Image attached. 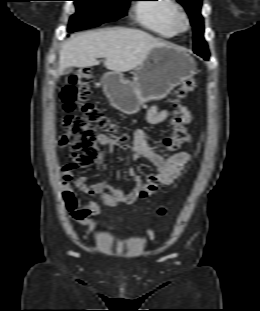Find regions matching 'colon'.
Returning <instances> with one entry per match:
<instances>
[{"label": "colon", "mask_w": 260, "mask_h": 311, "mask_svg": "<svg viewBox=\"0 0 260 311\" xmlns=\"http://www.w3.org/2000/svg\"><path fill=\"white\" fill-rule=\"evenodd\" d=\"M92 79L89 69L78 70L63 87L61 99L66 111H73L78 102L83 103V115H67L62 120L65 130L60 145L69 147L73 151V159L78 166H85L95 161L99 156V145L103 137L108 135L120 143L127 140V134L115 122L102 114L94 104L88 102L90 93L86 86ZM196 81L187 79L177 92L178 99L186 97L196 89ZM173 133L164 138L162 145L173 152H177L188 142L189 136L182 126L180 118H174ZM106 134V135H105ZM165 207L158 209L159 215H164Z\"/></svg>", "instance_id": "colon-1"}]
</instances>
